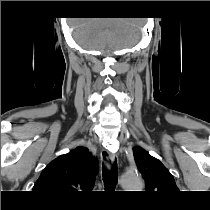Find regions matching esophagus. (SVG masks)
Returning a JSON list of instances; mask_svg holds the SVG:
<instances>
[{"label": "esophagus", "instance_id": "34e87169", "mask_svg": "<svg viewBox=\"0 0 210 210\" xmlns=\"http://www.w3.org/2000/svg\"><path fill=\"white\" fill-rule=\"evenodd\" d=\"M101 163L106 167L109 168L112 163L115 161V154L108 152V150L103 149L100 154Z\"/></svg>", "mask_w": 210, "mask_h": 210}]
</instances>
